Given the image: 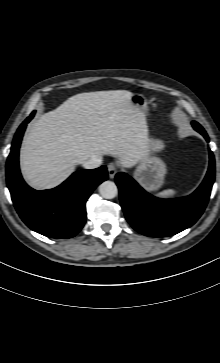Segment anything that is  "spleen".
<instances>
[{"label": "spleen", "instance_id": "spleen-1", "mask_svg": "<svg viewBox=\"0 0 220 363\" xmlns=\"http://www.w3.org/2000/svg\"><path fill=\"white\" fill-rule=\"evenodd\" d=\"M175 193H176L175 190L169 189V190H165V191L159 193L157 196L160 198H169V197L174 196Z\"/></svg>", "mask_w": 220, "mask_h": 363}]
</instances>
